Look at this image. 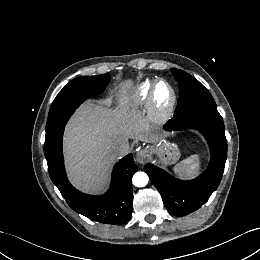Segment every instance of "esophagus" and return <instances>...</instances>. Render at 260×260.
Segmentation results:
<instances>
[{"label":"esophagus","instance_id":"obj_1","mask_svg":"<svg viewBox=\"0 0 260 260\" xmlns=\"http://www.w3.org/2000/svg\"><path fill=\"white\" fill-rule=\"evenodd\" d=\"M149 156V150L144 148L139 150L135 155V161L139 164H143Z\"/></svg>","mask_w":260,"mask_h":260}]
</instances>
